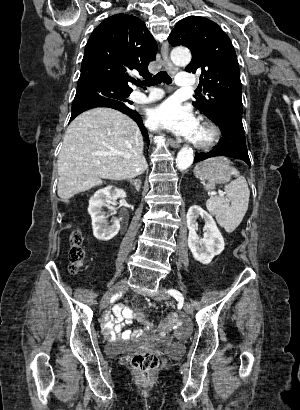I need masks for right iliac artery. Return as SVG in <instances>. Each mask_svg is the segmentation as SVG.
<instances>
[{"mask_svg": "<svg viewBox=\"0 0 300 410\" xmlns=\"http://www.w3.org/2000/svg\"><path fill=\"white\" fill-rule=\"evenodd\" d=\"M120 295L119 294H116V296H114L115 298H117V297H119Z\"/></svg>", "mask_w": 300, "mask_h": 410, "instance_id": "right-iliac-artery-1", "label": "right iliac artery"}]
</instances>
